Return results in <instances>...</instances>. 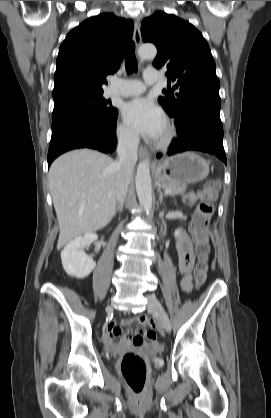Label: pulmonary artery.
<instances>
[{
	"label": "pulmonary artery",
	"instance_id": "1",
	"mask_svg": "<svg viewBox=\"0 0 271 418\" xmlns=\"http://www.w3.org/2000/svg\"><path fill=\"white\" fill-rule=\"evenodd\" d=\"M160 80L157 70L148 68L144 71V82L139 80H113L108 94L111 96H136L144 92L146 85Z\"/></svg>",
	"mask_w": 271,
	"mask_h": 418
}]
</instances>
